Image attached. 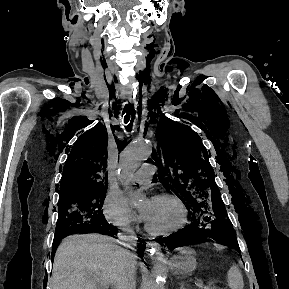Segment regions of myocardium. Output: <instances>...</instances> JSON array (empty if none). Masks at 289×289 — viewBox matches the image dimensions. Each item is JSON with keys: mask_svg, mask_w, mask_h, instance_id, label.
Listing matches in <instances>:
<instances>
[{"mask_svg": "<svg viewBox=\"0 0 289 289\" xmlns=\"http://www.w3.org/2000/svg\"><path fill=\"white\" fill-rule=\"evenodd\" d=\"M155 199L157 200H171L173 202H175L181 209L182 211V221L179 225L167 229V230H163V231H157L152 229L147 223L144 224V229L146 230V232H148L151 235L154 236H168L171 234H174L182 229H184L188 223V217H189V212H188V208L186 206V204L183 202V200L174 195V194H170V193H160L158 195L155 196Z\"/></svg>", "mask_w": 289, "mask_h": 289, "instance_id": "1", "label": "myocardium"}]
</instances>
